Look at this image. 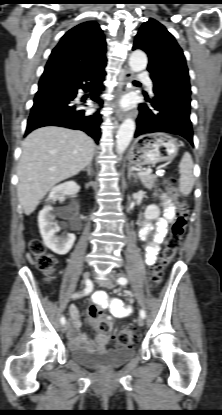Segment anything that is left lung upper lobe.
Listing matches in <instances>:
<instances>
[{
	"label": "left lung upper lobe",
	"instance_id": "obj_1",
	"mask_svg": "<svg viewBox=\"0 0 222 415\" xmlns=\"http://www.w3.org/2000/svg\"><path fill=\"white\" fill-rule=\"evenodd\" d=\"M141 49L149 57L147 70L152 74L166 70L188 73L182 49L173 35L158 21L150 18L135 37L133 50Z\"/></svg>",
	"mask_w": 222,
	"mask_h": 415
}]
</instances>
